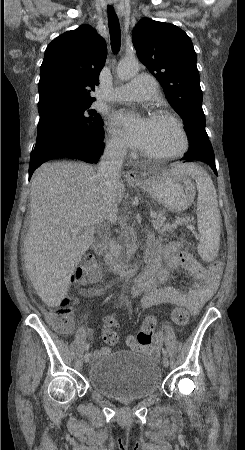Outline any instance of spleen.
Returning <instances> with one entry per match:
<instances>
[{"instance_id": "1", "label": "spleen", "mask_w": 245, "mask_h": 450, "mask_svg": "<svg viewBox=\"0 0 245 450\" xmlns=\"http://www.w3.org/2000/svg\"><path fill=\"white\" fill-rule=\"evenodd\" d=\"M183 172L196 181L198 190L197 221L200 233L198 253L205 261L215 259L220 246L221 216L216 189L207 172L194 164L183 166Z\"/></svg>"}]
</instances>
